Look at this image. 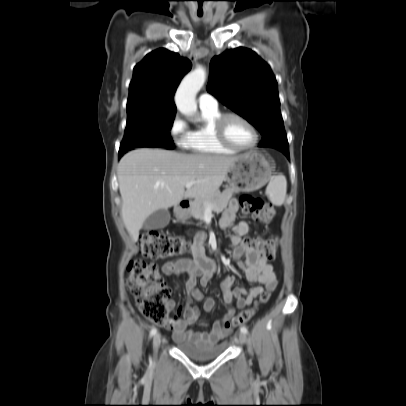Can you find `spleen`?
Instances as JSON below:
<instances>
[{
	"label": "spleen",
	"instance_id": "1",
	"mask_svg": "<svg viewBox=\"0 0 406 406\" xmlns=\"http://www.w3.org/2000/svg\"><path fill=\"white\" fill-rule=\"evenodd\" d=\"M287 191V181L283 174L275 176L267 186L266 194L270 201L280 206L284 203Z\"/></svg>",
	"mask_w": 406,
	"mask_h": 406
}]
</instances>
